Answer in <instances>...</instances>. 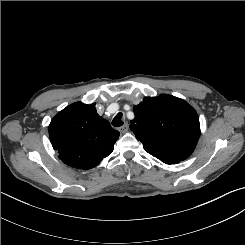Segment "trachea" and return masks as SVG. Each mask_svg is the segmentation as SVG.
<instances>
[{"label":"trachea","mask_w":245,"mask_h":245,"mask_svg":"<svg viewBox=\"0 0 245 245\" xmlns=\"http://www.w3.org/2000/svg\"><path fill=\"white\" fill-rule=\"evenodd\" d=\"M124 124V122H123V114L122 113H118L115 117H114V119H113V121H112V125L114 126V127H120V126H122Z\"/></svg>","instance_id":"trachea-1"}]
</instances>
